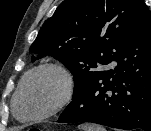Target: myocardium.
I'll use <instances>...</instances> for the list:
<instances>
[{
	"instance_id": "obj_1",
	"label": "myocardium",
	"mask_w": 151,
	"mask_h": 131,
	"mask_svg": "<svg viewBox=\"0 0 151 131\" xmlns=\"http://www.w3.org/2000/svg\"><path fill=\"white\" fill-rule=\"evenodd\" d=\"M47 72L56 74L57 76H59V78L62 81L63 89H62V94H61L59 100L55 103V105L53 107H51L49 110H47L43 113L29 116V117H22L18 111V102H19V98H20L26 84L34 76H36L40 73H47ZM74 93H75V80H74L72 73L61 64L45 63V64L34 67L30 71H28L22 78V80L18 86V89L13 97V102H12L13 112L16 117L24 118L27 120L46 119V118L54 116L55 114L60 112L62 109H64L71 102V100L74 96Z\"/></svg>"
}]
</instances>
